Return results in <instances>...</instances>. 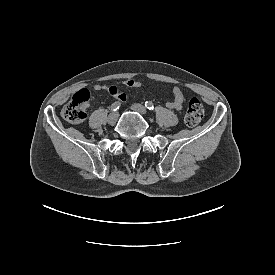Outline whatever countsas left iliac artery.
Returning <instances> with one entry per match:
<instances>
[{
    "instance_id": "1",
    "label": "left iliac artery",
    "mask_w": 275,
    "mask_h": 275,
    "mask_svg": "<svg viewBox=\"0 0 275 275\" xmlns=\"http://www.w3.org/2000/svg\"><path fill=\"white\" fill-rule=\"evenodd\" d=\"M145 106H146V108H148L149 110H153V109H154V105H153V103L150 102V101H146V102H145Z\"/></svg>"
}]
</instances>
